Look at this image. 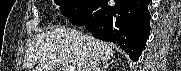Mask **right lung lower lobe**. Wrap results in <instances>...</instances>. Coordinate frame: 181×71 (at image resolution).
Listing matches in <instances>:
<instances>
[{"instance_id":"98d812e1","label":"right lung lower lobe","mask_w":181,"mask_h":71,"mask_svg":"<svg viewBox=\"0 0 181 71\" xmlns=\"http://www.w3.org/2000/svg\"><path fill=\"white\" fill-rule=\"evenodd\" d=\"M98 0L84 14L70 17L74 25L85 26L95 38L117 43L133 61H137L150 33L151 0Z\"/></svg>"}]
</instances>
